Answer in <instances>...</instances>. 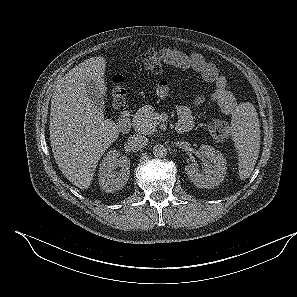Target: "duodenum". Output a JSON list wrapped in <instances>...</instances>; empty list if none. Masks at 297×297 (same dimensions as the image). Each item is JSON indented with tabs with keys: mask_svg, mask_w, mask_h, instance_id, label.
Segmentation results:
<instances>
[{
	"mask_svg": "<svg viewBox=\"0 0 297 297\" xmlns=\"http://www.w3.org/2000/svg\"><path fill=\"white\" fill-rule=\"evenodd\" d=\"M117 126L122 133H128L130 131V128H131V111L130 110L127 109L121 113L118 119ZM176 129L179 133H187L191 130V127L188 124L180 123V124H177Z\"/></svg>",
	"mask_w": 297,
	"mask_h": 297,
	"instance_id": "obj_1",
	"label": "duodenum"
}]
</instances>
